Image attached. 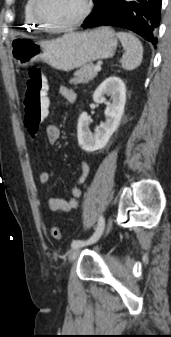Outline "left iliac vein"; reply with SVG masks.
<instances>
[{
	"mask_svg": "<svg viewBox=\"0 0 171 337\" xmlns=\"http://www.w3.org/2000/svg\"><path fill=\"white\" fill-rule=\"evenodd\" d=\"M111 223H112L111 220H109L106 232H108L109 229L111 228ZM79 253H80V248H72L68 253L69 262L74 261L78 257Z\"/></svg>",
	"mask_w": 171,
	"mask_h": 337,
	"instance_id": "4c4485c4",
	"label": "left iliac vein"
}]
</instances>
